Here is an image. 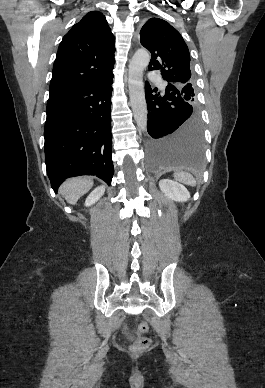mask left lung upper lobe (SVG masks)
Masks as SVG:
<instances>
[{
  "label": "left lung upper lobe",
  "instance_id": "obj_1",
  "mask_svg": "<svg viewBox=\"0 0 265 388\" xmlns=\"http://www.w3.org/2000/svg\"><path fill=\"white\" fill-rule=\"evenodd\" d=\"M140 42L152 55L149 70L161 69V76L168 85L176 87L184 101L196 107L190 54L180 33L168 22L151 18L140 31Z\"/></svg>",
  "mask_w": 265,
  "mask_h": 388
}]
</instances>
